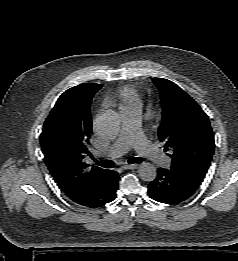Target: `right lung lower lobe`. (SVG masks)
I'll use <instances>...</instances> for the list:
<instances>
[{"label":"right lung lower lobe","mask_w":238,"mask_h":261,"mask_svg":"<svg viewBox=\"0 0 238 261\" xmlns=\"http://www.w3.org/2000/svg\"><path fill=\"white\" fill-rule=\"evenodd\" d=\"M118 178L117 172L106 170L92 190L75 203L89 208H96L113 201L116 196Z\"/></svg>","instance_id":"right-lung-lower-lobe-1"}]
</instances>
